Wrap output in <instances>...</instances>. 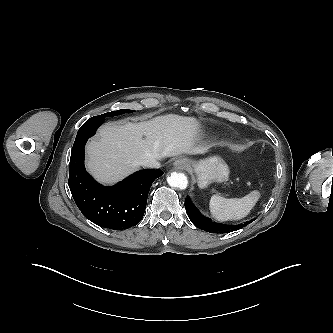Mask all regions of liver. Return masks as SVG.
<instances>
[{
	"mask_svg": "<svg viewBox=\"0 0 333 333\" xmlns=\"http://www.w3.org/2000/svg\"><path fill=\"white\" fill-rule=\"evenodd\" d=\"M198 122L175 114L150 121L106 124L86 146L87 168L99 182L113 184L135 171L143 159L161 160L181 153L203 154L196 146Z\"/></svg>",
	"mask_w": 333,
	"mask_h": 333,
	"instance_id": "obj_1",
	"label": "liver"
}]
</instances>
